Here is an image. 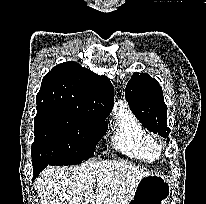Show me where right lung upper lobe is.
I'll return each instance as SVG.
<instances>
[{
  "label": "right lung upper lobe",
  "instance_id": "cb5924a9",
  "mask_svg": "<svg viewBox=\"0 0 206 204\" xmlns=\"http://www.w3.org/2000/svg\"><path fill=\"white\" fill-rule=\"evenodd\" d=\"M113 103L110 80L73 61L59 64L48 72L36 96L37 106L66 107L100 117L110 114Z\"/></svg>",
  "mask_w": 206,
  "mask_h": 204
}]
</instances>
